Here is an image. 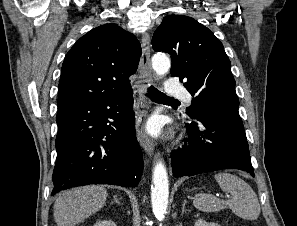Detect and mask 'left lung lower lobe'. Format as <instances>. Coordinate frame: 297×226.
Returning <instances> with one entry per match:
<instances>
[{
	"mask_svg": "<svg viewBox=\"0 0 297 226\" xmlns=\"http://www.w3.org/2000/svg\"><path fill=\"white\" fill-rule=\"evenodd\" d=\"M194 119L199 124L193 121L186 124L188 142L172 152L174 177L220 169H239L254 177L249 146L238 112L209 110Z\"/></svg>",
	"mask_w": 297,
	"mask_h": 226,
	"instance_id": "left-lung-lower-lobe-1",
	"label": "left lung lower lobe"
}]
</instances>
